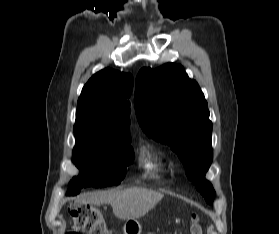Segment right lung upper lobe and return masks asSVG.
<instances>
[{
    "label": "right lung upper lobe",
    "instance_id": "right-lung-upper-lobe-1",
    "mask_svg": "<svg viewBox=\"0 0 279 234\" xmlns=\"http://www.w3.org/2000/svg\"><path fill=\"white\" fill-rule=\"evenodd\" d=\"M133 78L112 69L94 74L78 99L75 125L96 138H131L130 103Z\"/></svg>",
    "mask_w": 279,
    "mask_h": 234
}]
</instances>
